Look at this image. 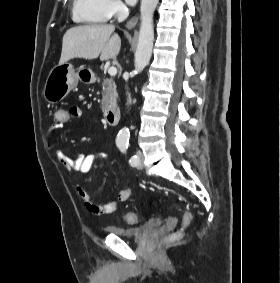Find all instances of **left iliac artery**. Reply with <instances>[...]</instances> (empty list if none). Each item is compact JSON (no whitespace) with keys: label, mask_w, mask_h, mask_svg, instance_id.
Returning <instances> with one entry per match:
<instances>
[{"label":"left iliac artery","mask_w":280,"mask_h":283,"mask_svg":"<svg viewBox=\"0 0 280 283\" xmlns=\"http://www.w3.org/2000/svg\"><path fill=\"white\" fill-rule=\"evenodd\" d=\"M118 147H119V149L121 150V152L126 153V151H127V149H128V144H127V143H122V144H120ZM138 161H139L138 156H137V155H134V156H132V157L130 158L129 163H130L132 166H136L137 163H138Z\"/></svg>","instance_id":"left-iliac-artery-1"}]
</instances>
